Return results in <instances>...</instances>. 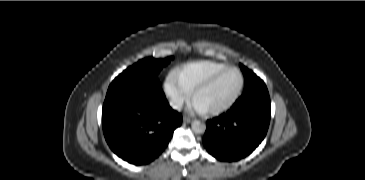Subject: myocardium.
<instances>
[{
    "mask_svg": "<svg viewBox=\"0 0 365 180\" xmlns=\"http://www.w3.org/2000/svg\"><path fill=\"white\" fill-rule=\"evenodd\" d=\"M231 70L238 72L240 75V86H239L236 94L228 103H226L220 107L214 108V109L204 110L203 113L208 114V115H219L221 113H224V112L228 111L229 109H231L237 103L239 98L241 97L244 87H245L244 73L242 72V70L240 68H238L236 66H228V67L218 71L217 73H215L214 75L209 77L205 82L200 84L197 88H195L193 90V92L191 93V98L194 101L195 97L197 96L198 93H200L201 91H203L204 89L209 87L216 79H218L224 73L231 71Z\"/></svg>",
    "mask_w": 365,
    "mask_h": 180,
    "instance_id": "f54148a6",
    "label": "myocardium"
}]
</instances>
